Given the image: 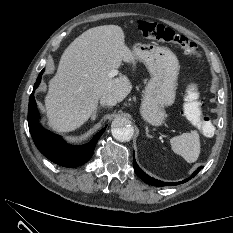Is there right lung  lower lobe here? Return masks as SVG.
Here are the masks:
<instances>
[{
  "mask_svg": "<svg viewBox=\"0 0 233 233\" xmlns=\"http://www.w3.org/2000/svg\"><path fill=\"white\" fill-rule=\"evenodd\" d=\"M44 70L39 74L34 85V90L38 87ZM39 113L34 99V91L29 100L28 125L33 141L39 151L52 162L64 167H77L86 163L93 155L95 145L104 132L103 128L87 144L73 146L67 144L58 135L45 130L38 122Z\"/></svg>",
  "mask_w": 233,
  "mask_h": 233,
  "instance_id": "98d812e1",
  "label": "right lung lower lobe"
}]
</instances>
